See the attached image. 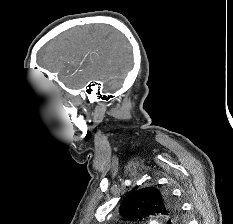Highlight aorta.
<instances>
[{"mask_svg":"<svg viewBox=\"0 0 233 224\" xmlns=\"http://www.w3.org/2000/svg\"><path fill=\"white\" fill-rule=\"evenodd\" d=\"M150 224H158V223H156V222H151Z\"/></svg>","mask_w":233,"mask_h":224,"instance_id":"1","label":"aorta"}]
</instances>
